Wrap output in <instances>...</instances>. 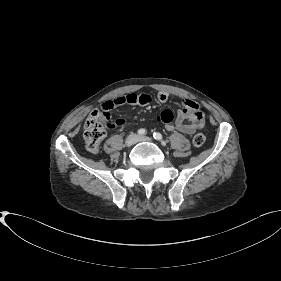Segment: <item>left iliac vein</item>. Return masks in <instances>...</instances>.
Instances as JSON below:
<instances>
[{"label": "left iliac vein", "instance_id": "1", "mask_svg": "<svg viewBox=\"0 0 281 281\" xmlns=\"http://www.w3.org/2000/svg\"><path fill=\"white\" fill-rule=\"evenodd\" d=\"M152 142V138L150 137H147V136H140V137H137V142Z\"/></svg>", "mask_w": 281, "mask_h": 281}]
</instances>
